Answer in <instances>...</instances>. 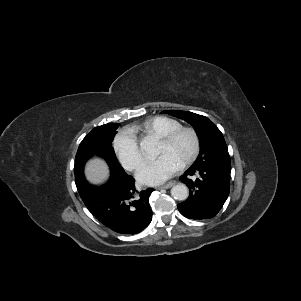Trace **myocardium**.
Segmentation results:
<instances>
[{"instance_id": "1", "label": "myocardium", "mask_w": 301, "mask_h": 301, "mask_svg": "<svg viewBox=\"0 0 301 301\" xmlns=\"http://www.w3.org/2000/svg\"><path fill=\"white\" fill-rule=\"evenodd\" d=\"M184 134L190 135L193 143L190 154L182 161L181 167H185L193 163L200 152V137L198 132L192 127H179L176 130L168 133L167 135L161 136L160 140L166 144L174 143L179 137Z\"/></svg>"}]
</instances>
